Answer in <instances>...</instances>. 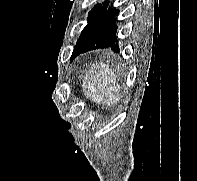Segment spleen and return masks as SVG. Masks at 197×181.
<instances>
[{
    "label": "spleen",
    "instance_id": "obj_1",
    "mask_svg": "<svg viewBox=\"0 0 197 181\" xmlns=\"http://www.w3.org/2000/svg\"><path fill=\"white\" fill-rule=\"evenodd\" d=\"M82 88L85 96L96 104L113 105L121 98L115 71L105 63L90 67L85 74Z\"/></svg>",
    "mask_w": 197,
    "mask_h": 181
}]
</instances>
